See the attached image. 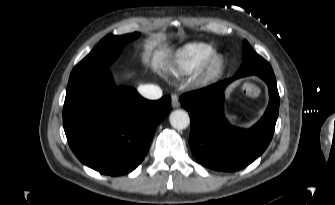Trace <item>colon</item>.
I'll use <instances>...</instances> for the list:
<instances>
[{
	"label": "colon",
	"instance_id": "1",
	"mask_svg": "<svg viewBox=\"0 0 335 205\" xmlns=\"http://www.w3.org/2000/svg\"><path fill=\"white\" fill-rule=\"evenodd\" d=\"M244 91L246 92L247 95L252 97H256L260 93L259 88L253 83H246L244 85Z\"/></svg>",
	"mask_w": 335,
	"mask_h": 205
}]
</instances>
